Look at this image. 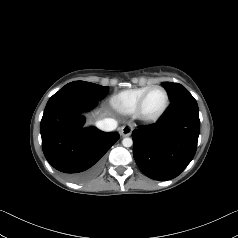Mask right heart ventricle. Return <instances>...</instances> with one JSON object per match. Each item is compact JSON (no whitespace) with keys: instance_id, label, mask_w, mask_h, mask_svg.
Wrapping results in <instances>:
<instances>
[{"instance_id":"obj_1","label":"right heart ventricle","mask_w":238,"mask_h":238,"mask_svg":"<svg viewBox=\"0 0 238 238\" xmlns=\"http://www.w3.org/2000/svg\"><path fill=\"white\" fill-rule=\"evenodd\" d=\"M149 87L150 86H142L127 89L115 94L111 99L112 107L123 114L134 113L140 97Z\"/></svg>"}]
</instances>
